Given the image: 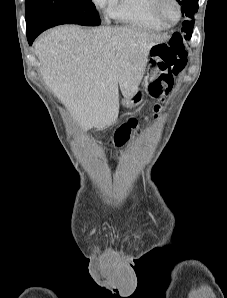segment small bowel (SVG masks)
<instances>
[{
    "mask_svg": "<svg viewBox=\"0 0 227 298\" xmlns=\"http://www.w3.org/2000/svg\"><path fill=\"white\" fill-rule=\"evenodd\" d=\"M104 140L103 139H91L90 142L87 143L88 147H93L94 144H103Z\"/></svg>",
    "mask_w": 227,
    "mask_h": 298,
    "instance_id": "1",
    "label": "small bowel"
}]
</instances>
